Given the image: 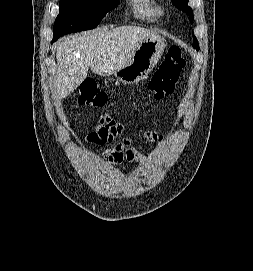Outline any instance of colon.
<instances>
[{"mask_svg": "<svg viewBox=\"0 0 253 271\" xmlns=\"http://www.w3.org/2000/svg\"><path fill=\"white\" fill-rule=\"evenodd\" d=\"M183 67L184 59L181 49L177 46L170 47L148 83V95L158 101L170 94ZM107 100V94L98 90L92 79H85L81 83L78 96L80 104L101 107L106 104Z\"/></svg>", "mask_w": 253, "mask_h": 271, "instance_id": "colon-1", "label": "colon"}]
</instances>
